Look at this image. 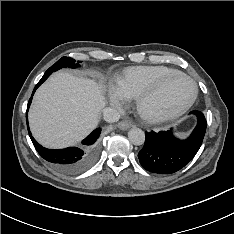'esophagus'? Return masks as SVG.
Instances as JSON below:
<instances>
[{"label":"esophagus","mask_w":234,"mask_h":234,"mask_svg":"<svg viewBox=\"0 0 234 234\" xmlns=\"http://www.w3.org/2000/svg\"><path fill=\"white\" fill-rule=\"evenodd\" d=\"M117 126L121 130H127L132 126V123L129 120H122L117 124Z\"/></svg>","instance_id":"34e87169"}]
</instances>
